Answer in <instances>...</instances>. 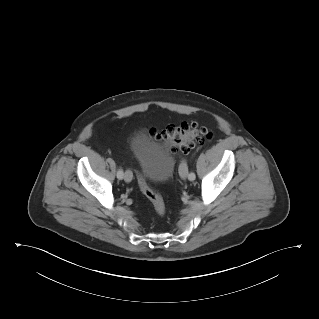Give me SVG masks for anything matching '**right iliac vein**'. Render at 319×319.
<instances>
[{"mask_svg":"<svg viewBox=\"0 0 319 319\" xmlns=\"http://www.w3.org/2000/svg\"><path fill=\"white\" fill-rule=\"evenodd\" d=\"M132 177H133L132 172L130 170H126L124 174V180L126 182H131Z\"/></svg>","mask_w":319,"mask_h":319,"instance_id":"63e3f726","label":"right iliac vein"}]
</instances>
